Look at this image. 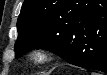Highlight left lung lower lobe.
Wrapping results in <instances>:
<instances>
[{"label": "left lung lower lobe", "instance_id": "0a47b994", "mask_svg": "<svg viewBox=\"0 0 107 75\" xmlns=\"http://www.w3.org/2000/svg\"><path fill=\"white\" fill-rule=\"evenodd\" d=\"M88 13L75 36L76 48L60 54L70 64L107 73V0Z\"/></svg>", "mask_w": 107, "mask_h": 75}]
</instances>
